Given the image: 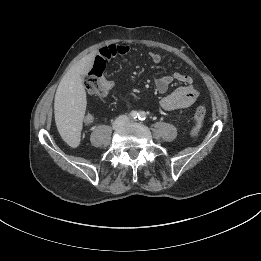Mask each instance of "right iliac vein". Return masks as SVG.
Instances as JSON below:
<instances>
[{"mask_svg": "<svg viewBox=\"0 0 261 261\" xmlns=\"http://www.w3.org/2000/svg\"><path fill=\"white\" fill-rule=\"evenodd\" d=\"M117 126H119V123H118V122L114 124V127H117Z\"/></svg>", "mask_w": 261, "mask_h": 261, "instance_id": "1", "label": "right iliac vein"}]
</instances>
